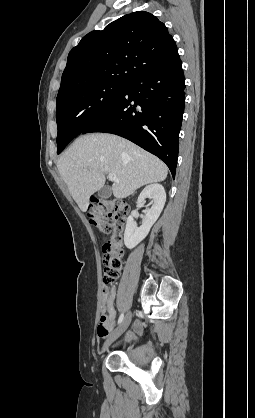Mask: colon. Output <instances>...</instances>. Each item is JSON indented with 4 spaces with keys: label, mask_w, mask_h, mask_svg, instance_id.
<instances>
[{
    "label": "colon",
    "mask_w": 255,
    "mask_h": 418,
    "mask_svg": "<svg viewBox=\"0 0 255 418\" xmlns=\"http://www.w3.org/2000/svg\"><path fill=\"white\" fill-rule=\"evenodd\" d=\"M128 209V203L122 199L96 201L92 207L90 222L104 235L103 280L106 285L113 283L120 274ZM105 323L106 316L101 314L98 327L104 329Z\"/></svg>",
    "instance_id": "colon-1"
}]
</instances>
